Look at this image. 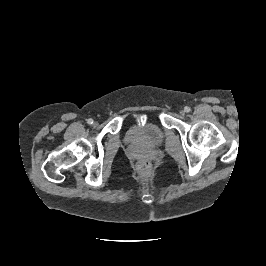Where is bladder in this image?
Listing matches in <instances>:
<instances>
[{
    "label": "bladder",
    "instance_id": "1",
    "mask_svg": "<svg viewBox=\"0 0 266 266\" xmlns=\"http://www.w3.org/2000/svg\"><path fill=\"white\" fill-rule=\"evenodd\" d=\"M163 129L155 122L147 120L129 126L125 132V141L139 149H152L164 142Z\"/></svg>",
    "mask_w": 266,
    "mask_h": 266
}]
</instances>
